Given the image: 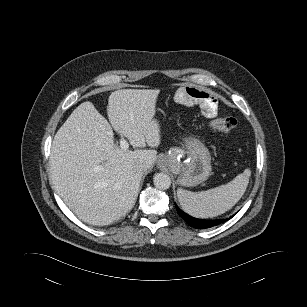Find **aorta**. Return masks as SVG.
<instances>
[{"mask_svg":"<svg viewBox=\"0 0 307 307\" xmlns=\"http://www.w3.org/2000/svg\"><path fill=\"white\" fill-rule=\"evenodd\" d=\"M154 185L157 189L167 190L171 186V178L165 173H157L153 178Z\"/></svg>","mask_w":307,"mask_h":307,"instance_id":"aorta-1","label":"aorta"}]
</instances>
